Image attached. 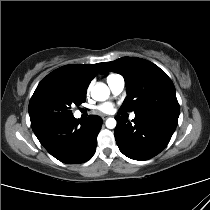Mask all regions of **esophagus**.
I'll use <instances>...</instances> for the list:
<instances>
[{
	"mask_svg": "<svg viewBox=\"0 0 210 210\" xmlns=\"http://www.w3.org/2000/svg\"><path fill=\"white\" fill-rule=\"evenodd\" d=\"M109 116L108 115H102V119L106 120Z\"/></svg>",
	"mask_w": 210,
	"mask_h": 210,
	"instance_id": "1",
	"label": "esophagus"
}]
</instances>
